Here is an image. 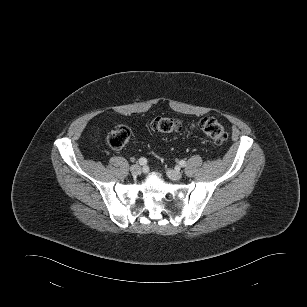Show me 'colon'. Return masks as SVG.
Listing matches in <instances>:
<instances>
[{
	"mask_svg": "<svg viewBox=\"0 0 307 307\" xmlns=\"http://www.w3.org/2000/svg\"><path fill=\"white\" fill-rule=\"evenodd\" d=\"M152 130L159 133H173L181 131L183 124L179 119L157 117L149 123ZM193 129L200 130L215 144L221 145L226 142L228 135L224 127L214 118L205 117L192 124ZM130 129L125 125L115 126L107 136L108 145L115 150L122 149L131 140Z\"/></svg>",
	"mask_w": 307,
	"mask_h": 307,
	"instance_id": "obj_1",
	"label": "colon"
}]
</instances>
